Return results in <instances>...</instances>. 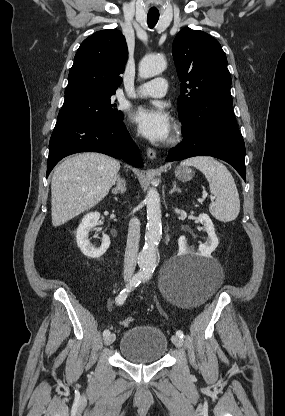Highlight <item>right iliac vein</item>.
Segmentation results:
<instances>
[{
  "label": "right iliac vein",
  "instance_id": "1",
  "mask_svg": "<svg viewBox=\"0 0 285 416\" xmlns=\"http://www.w3.org/2000/svg\"><path fill=\"white\" fill-rule=\"evenodd\" d=\"M114 340H115V334L114 333H111V334H109L108 336H106L104 338V344L106 346H109V345H111L114 342Z\"/></svg>",
  "mask_w": 285,
  "mask_h": 416
}]
</instances>
